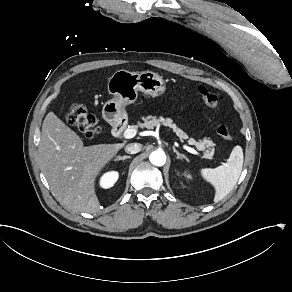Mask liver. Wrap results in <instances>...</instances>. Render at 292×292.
Wrapping results in <instances>:
<instances>
[{
	"instance_id": "6515ba94",
	"label": "liver",
	"mask_w": 292,
	"mask_h": 292,
	"mask_svg": "<svg viewBox=\"0 0 292 292\" xmlns=\"http://www.w3.org/2000/svg\"><path fill=\"white\" fill-rule=\"evenodd\" d=\"M126 143L84 146L72 128L50 111L42 124L39 160L54 196L74 212L101 210L96 181Z\"/></svg>"
}]
</instances>
